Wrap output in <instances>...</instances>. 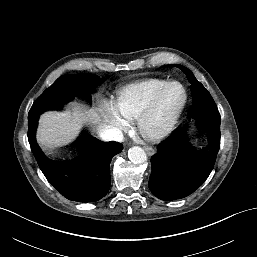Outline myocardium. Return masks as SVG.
I'll use <instances>...</instances> for the list:
<instances>
[{
    "label": "myocardium",
    "mask_w": 257,
    "mask_h": 257,
    "mask_svg": "<svg viewBox=\"0 0 257 257\" xmlns=\"http://www.w3.org/2000/svg\"><path fill=\"white\" fill-rule=\"evenodd\" d=\"M172 85H177L182 89L183 98L179 106L168 116L165 122L157 129H149L147 124L149 119L155 113L160 99L167 88ZM188 95L185 86L179 81H168L159 87L152 95L147 104L139 112L136 117L137 127L140 134L149 141H158L167 137L175 128L185 106L187 103Z\"/></svg>",
    "instance_id": "1"
}]
</instances>
